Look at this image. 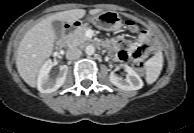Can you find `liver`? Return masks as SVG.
Here are the masks:
<instances>
[{
  "label": "liver",
  "mask_w": 194,
  "mask_h": 133,
  "mask_svg": "<svg viewBox=\"0 0 194 133\" xmlns=\"http://www.w3.org/2000/svg\"><path fill=\"white\" fill-rule=\"evenodd\" d=\"M92 9L90 15L103 12ZM84 9H72L51 14L34 25L19 43L16 55V67L21 78L31 87L36 86L37 77L44 62L52 55L56 35L53 21L73 23L84 17Z\"/></svg>",
  "instance_id": "obj_1"
}]
</instances>
